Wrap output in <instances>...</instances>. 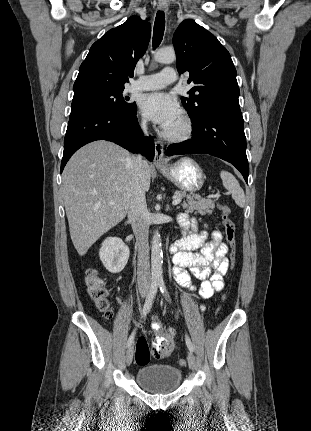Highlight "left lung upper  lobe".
Here are the masks:
<instances>
[{
    "instance_id": "5c2ea615",
    "label": "left lung upper lobe",
    "mask_w": 311,
    "mask_h": 431,
    "mask_svg": "<svg viewBox=\"0 0 311 431\" xmlns=\"http://www.w3.org/2000/svg\"><path fill=\"white\" fill-rule=\"evenodd\" d=\"M173 45L178 72H189L188 83L194 85L189 97H181L193 123L215 109L239 107L236 69L229 52L213 34L186 19L175 31Z\"/></svg>"
}]
</instances>
